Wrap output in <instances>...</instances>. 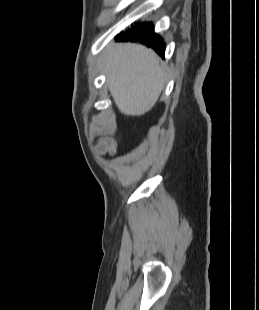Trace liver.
I'll return each instance as SVG.
<instances>
[{"instance_id": "obj_1", "label": "liver", "mask_w": 259, "mask_h": 310, "mask_svg": "<svg viewBox=\"0 0 259 310\" xmlns=\"http://www.w3.org/2000/svg\"><path fill=\"white\" fill-rule=\"evenodd\" d=\"M103 66L121 113L141 116L153 108L166 79L154 51L133 43L111 44L103 53Z\"/></svg>"}]
</instances>
